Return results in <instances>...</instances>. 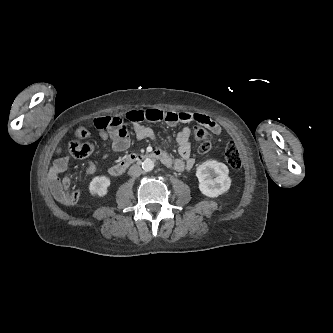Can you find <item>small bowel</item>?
Wrapping results in <instances>:
<instances>
[{
  "label": "small bowel",
  "mask_w": 333,
  "mask_h": 333,
  "mask_svg": "<svg viewBox=\"0 0 333 333\" xmlns=\"http://www.w3.org/2000/svg\"><path fill=\"white\" fill-rule=\"evenodd\" d=\"M127 121L131 124L132 131L138 140H155L154 131L142 124L143 121H158L157 116L165 121L170 126L178 124L198 123L205 126L211 133L220 135L222 132L221 126L211 119L208 115L197 112L187 111H163L157 108L146 110H131L126 113ZM79 138H87L89 132L81 135L76 132ZM100 137L104 140L109 139L114 151H124L130 145V137L128 131L119 132L117 130H101ZM191 129L184 127L176 136L175 141L178 146L180 158L173 160L165 151L159 150L165 158L163 164L173 167L177 171L191 170L195 165V161L191 156ZM69 166V158L66 155L57 158L51 165L48 172V183L55 199L64 205L75 204L80 198L78 190L68 191L69 178L63 175ZM96 166L93 162L86 163V172L94 174Z\"/></svg>",
  "instance_id": "obj_1"
}]
</instances>
